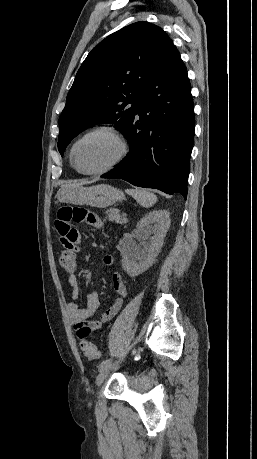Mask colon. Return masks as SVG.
Wrapping results in <instances>:
<instances>
[{
    "mask_svg": "<svg viewBox=\"0 0 257 459\" xmlns=\"http://www.w3.org/2000/svg\"><path fill=\"white\" fill-rule=\"evenodd\" d=\"M59 211V210H58ZM63 238V237H62ZM76 252L77 251H64L59 254V263L62 268L66 270H73L76 266ZM80 349L85 357L89 359H96L99 356L95 344L88 340H81Z\"/></svg>",
    "mask_w": 257,
    "mask_h": 459,
    "instance_id": "1",
    "label": "colon"
}]
</instances>
